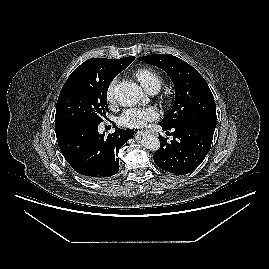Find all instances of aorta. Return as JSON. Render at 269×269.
I'll return each mask as SVG.
<instances>
[{
  "mask_svg": "<svg viewBox=\"0 0 269 269\" xmlns=\"http://www.w3.org/2000/svg\"><path fill=\"white\" fill-rule=\"evenodd\" d=\"M143 92L140 86L131 81H122L113 88V96L117 102L124 106H133L142 98ZM136 141L150 151H158L160 140L154 134L141 131L136 135Z\"/></svg>",
  "mask_w": 269,
  "mask_h": 269,
  "instance_id": "aorta-1",
  "label": "aorta"
}]
</instances>
